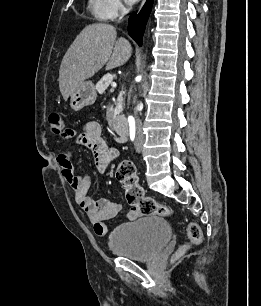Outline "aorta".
<instances>
[{"mask_svg": "<svg viewBox=\"0 0 261 306\" xmlns=\"http://www.w3.org/2000/svg\"><path fill=\"white\" fill-rule=\"evenodd\" d=\"M131 120H132V117L130 116V117H129V121H131Z\"/></svg>", "mask_w": 261, "mask_h": 306, "instance_id": "762f6f07", "label": "aorta"}]
</instances>
